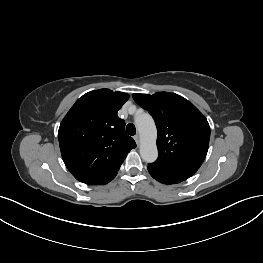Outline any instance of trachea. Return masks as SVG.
<instances>
[{
	"instance_id": "trachea-1",
	"label": "trachea",
	"mask_w": 263,
	"mask_h": 263,
	"mask_svg": "<svg viewBox=\"0 0 263 263\" xmlns=\"http://www.w3.org/2000/svg\"><path fill=\"white\" fill-rule=\"evenodd\" d=\"M126 132L129 134V135H131V136H133V135H135L136 134V128H135V125L134 124H128L127 126H126Z\"/></svg>"
}]
</instances>
